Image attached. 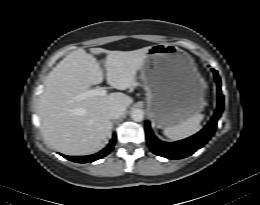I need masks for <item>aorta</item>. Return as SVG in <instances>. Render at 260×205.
Segmentation results:
<instances>
[{
    "label": "aorta",
    "instance_id": "obj_1",
    "mask_svg": "<svg viewBox=\"0 0 260 205\" xmlns=\"http://www.w3.org/2000/svg\"><path fill=\"white\" fill-rule=\"evenodd\" d=\"M144 117V112L141 109H134L131 112V118L136 121V122H140L143 120Z\"/></svg>",
    "mask_w": 260,
    "mask_h": 205
}]
</instances>
